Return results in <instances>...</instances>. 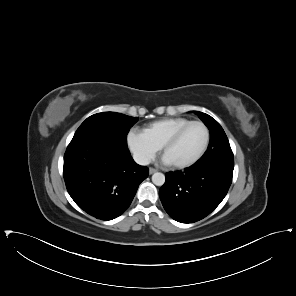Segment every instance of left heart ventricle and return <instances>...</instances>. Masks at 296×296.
<instances>
[{"instance_id": "left-heart-ventricle-1", "label": "left heart ventricle", "mask_w": 296, "mask_h": 296, "mask_svg": "<svg viewBox=\"0 0 296 296\" xmlns=\"http://www.w3.org/2000/svg\"><path fill=\"white\" fill-rule=\"evenodd\" d=\"M204 141V129L199 125H192L167 149L164 157L169 163H179L190 160L201 150Z\"/></svg>"}]
</instances>
